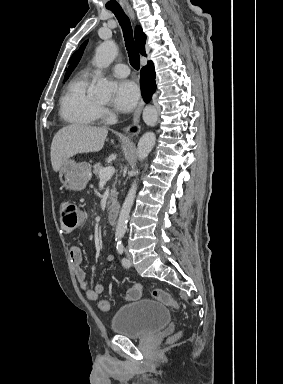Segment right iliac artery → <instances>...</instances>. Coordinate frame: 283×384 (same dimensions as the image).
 <instances>
[{"label": "right iliac artery", "mask_w": 283, "mask_h": 384, "mask_svg": "<svg viewBox=\"0 0 283 384\" xmlns=\"http://www.w3.org/2000/svg\"><path fill=\"white\" fill-rule=\"evenodd\" d=\"M120 238V236H116V240H118Z\"/></svg>", "instance_id": "right-iliac-artery-1"}]
</instances>
